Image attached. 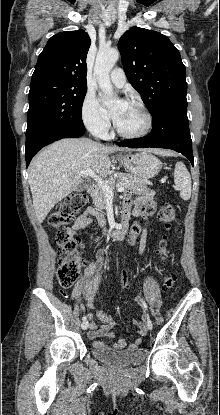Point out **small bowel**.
Returning <instances> with one entry per match:
<instances>
[{
    "label": "small bowel",
    "mask_w": 220,
    "mask_h": 415,
    "mask_svg": "<svg viewBox=\"0 0 220 415\" xmlns=\"http://www.w3.org/2000/svg\"><path fill=\"white\" fill-rule=\"evenodd\" d=\"M138 196L133 198L134 190H127L124 195L122 215H133L139 220L134 222L129 230L128 244L133 245L140 240V252L143 253L146 247V218L144 208L147 205H152L154 194L146 187H140L136 190ZM97 219L101 225L105 224L104 217L94 207H88L82 214L78 216L74 224L68 229L71 234H76L85 228H87L93 219ZM105 254L103 249L99 248L95 252V256L91 259L83 271V277L75 284L72 290V296L75 300L82 302L88 309H94L95 297L97 292V285L101 278V269L104 263ZM128 283L127 274H123L122 278L117 283V288L121 289ZM94 317H96L101 323L98 326L94 323ZM90 319V331L87 336L90 339H96L100 337L113 338L115 336L114 326L115 321L104 310L98 309L94 314H89ZM138 325V333L140 336L147 334V328L145 323L134 321ZM142 343V339L139 337L132 343L128 344L125 339H120L117 342L110 345V347L122 350V349H136ZM94 346L105 347L103 342L95 341Z\"/></svg>",
    "instance_id": "small-bowel-1"
}]
</instances>
